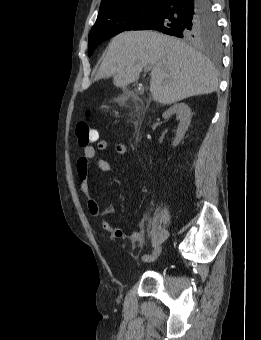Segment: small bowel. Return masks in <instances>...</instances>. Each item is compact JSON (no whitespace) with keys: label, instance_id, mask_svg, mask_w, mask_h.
<instances>
[{"label":"small bowel","instance_id":"obj_1","mask_svg":"<svg viewBox=\"0 0 261 340\" xmlns=\"http://www.w3.org/2000/svg\"><path fill=\"white\" fill-rule=\"evenodd\" d=\"M96 141H97L96 149L91 145H86L83 147V154L77 159L75 164L79 189L81 191V194L86 200L87 211L92 216L99 215L101 212V208L90 186L88 175L89 163L91 160H95L98 168L105 173H109L112 170L110 163L107 160L98 157L97 155V151H105L108 148V142L106 140H99V137ZM114 150L115 153L119 156H123L127 152V148L123 143H117L115 145ZM101 227L103 230L113 234L116 238L129 239L133 245L142 242L144 239L143 228H140V230L138 231H134L130 234H127L121 229H115L105 219L102 220Z\"/></svg>","mask_w":261,"mask_h":340}]
</instances>
